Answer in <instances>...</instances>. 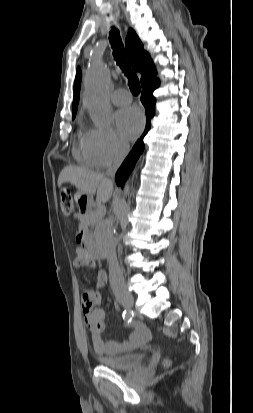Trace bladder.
I'll return each mask as SVG.
<instances>
[{
	"mask_svg": "<svg viewBox=\"0 0 253 413\" xmlns=\"http://www.w3.org/2000/svg\"><path fill=\"white\" fill-rule=\"evenodd\" d=\"M141 353H129L116 356H102L98 357V362L108 368L116 370H125L139 366L143 361Z\"/></svg>",
	"mask_w": 253,
	"mask_h": 413,
	"instance_id": "bladder-1",
	"label": "bladder"
}]
</instances>
